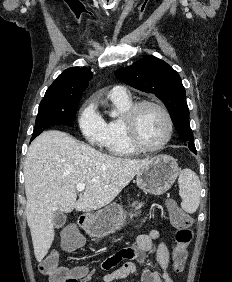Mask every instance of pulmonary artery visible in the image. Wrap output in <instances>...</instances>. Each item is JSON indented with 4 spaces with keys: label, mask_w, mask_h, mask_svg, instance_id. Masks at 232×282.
<instances>
[{
    "label": "pulmonary artery",
    "mask_w": 232,
    "mask_h": 282,
    "mask_svg": "<svg viewBox=\"0 0 232 282\" xmlns=\"http://www.w3.org/2000/svg\"><path fill=\"white\" fill-rule=\"evenodd\" d=\"M111 95L114 97L126 98L129 97V92L124 86H115L111 90Z\"/></svg>",
    "instance_id": "1"
}]
</instances>
